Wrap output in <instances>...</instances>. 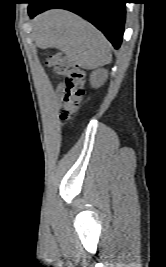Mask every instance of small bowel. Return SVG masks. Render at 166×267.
Wrapping results in <instances>:
<instances>
[{
	"label": "small bowel",
	"mask_w": 166,
	"mask_h": 267,
	"mask_svg": "<svg viewBox=\"0 0 166 267\" xmlns=\"http://www.w3.org/2000/svg\"><path fill=\"white\" fill-rule=\"evenodd\" d=\"M59 88L61 89L62 88V85H60Z\"/></svg>",
	"instance_id": "small-bowel-1"
}]
</instances>
